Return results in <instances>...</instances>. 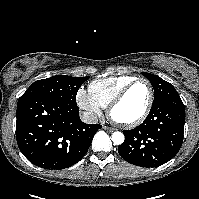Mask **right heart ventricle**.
<instances>
[{
	"instance_id": "e07e8e85",
	"label": "right heart ventricle",
	"mask_w": 199,
	"mask_h": 199,
	"mask_svg": "<svg viewBox=\"0 0 199 199\" xmlns=\"http://www.w3.org/2000/svg\"><path fill=\"white\" fill-rule=\"evenodd\" d=\"M133 79L135 78L125 75L95 80L89 84L88 91L101 107H107L116 95Z\"/></svg>"
}]
</instances>
